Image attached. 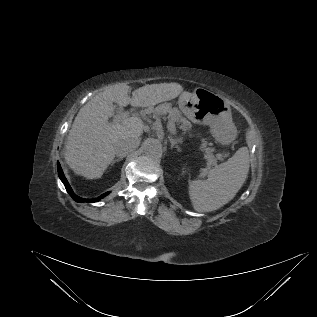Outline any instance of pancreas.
Listing matches in <instances>:
<instances>
[{"label":"pancreas","mask_w":317,"mask_h":317,"mask_svg":"<svg viewBox=\"0 0 317 317\" xmlns=\"http://www.w3.org/2000/svg\"><path fill=\"white\" fill-rule=\"evenodd\" d=\"M148 113H153V117L157 118L161 115L168 114V119L170 122L180 124V127L186 132L190 131L192 124L182 116V113L177 109L172 107L170 103H163L152 109L149 108L146 110ZM206 141H202L201 149L205 152V158L207 159V168H210L213 165L217 164V161L221 159L220 154L214 155V148L208 147Z\"/></svg>","instance_id":"pancreas-1"}]
</instances>
